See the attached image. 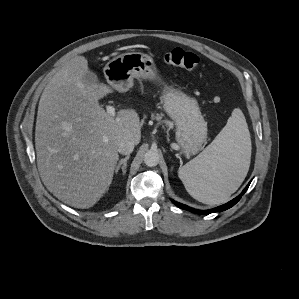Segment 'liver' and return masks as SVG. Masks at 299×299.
I'll list each match as a JSON object with an SVG mask.
<instances>
[{
  "mask_svg": "<svg viewBox=\"0 0 299 299\" xmlns=\"http://www.w3.org/2000/svg\"><path fill=\"white\" fill-rule=\"evenodd\" d=\"M84 56L69 60L49 81L38 106L37 167L49 192L63 203L90 208L107 192L118 162V144H138L141 122L134 109L107 113L99 99L103 83L86 85Z\"/></svg>",
  "mask_w": 299,
  "mask_h": 299,
  "instance_id": "1",
  "label": "liver"
}]
</instances>
